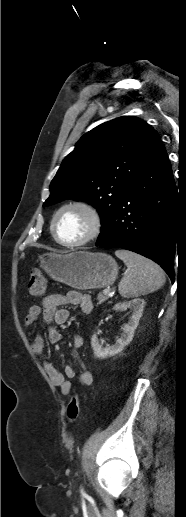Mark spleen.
Masks as SVG:
<instances>
[{"mask_svg":"<svg viewBox=\"0 0 186 517\" xmlns=\"http://www.w3.org/2000/svg\"><path fill=\"white\" fill-rule=\"evenodd\" d=\"M115 255L127 266V273L118 286L122 297L146 295L164 285L165 274L156 263L127 250H117Z\"/></svg>","mask_w":186,"mask_h":517,"instance_id":"spleen-1","label":"spleen"}]
</instances>
